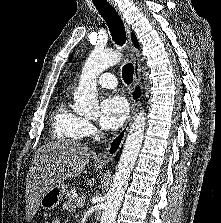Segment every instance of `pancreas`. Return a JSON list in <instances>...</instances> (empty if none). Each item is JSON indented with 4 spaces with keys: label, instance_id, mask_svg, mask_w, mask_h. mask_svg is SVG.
Listing matches in <instances>:
<instances>
[{
    "label": "pancreas",
    "instance_id": "obj_1",
    "mask_svg": "<svg viewBox=\"0 0 221 223\" xmlns=\"http://www.w3.org/2000/svg\"><path fill=\"white\" fill-rule=\"evenodd\" d=\"M75 191V188H72L66 196L67 202L63 204V208L70 212H75L77 205V199H75L72 195Z\"/></svg>",
    "mask_w": 221,
    "mask_h": 223
}]
</instances>
